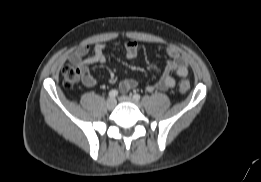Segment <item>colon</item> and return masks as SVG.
I'll return each mask as SVG.
<instances>
[{
  "instance_id": "obj_1",
  "label": "colon",
  "mask_w": 261,
  "mask_h": 182,
  "mask_svg": "<svg viewBox=\"0 0 261 182\" xmlns=\"http://www.w3.org/2000/svg\"><path fill=\"white\" fill-rule=\"evenodd\" d=\"M80 69L75 65H66L62 68V82L66 88L74 87L80 80ZM190 88V82L187 79H182L179 82L181 92H186Z\"/></svg>"
}]
</instances>
